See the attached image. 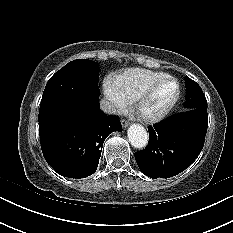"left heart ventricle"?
<instances>
[{
  "instance_id": "left-heart-ventricle-1",
  "label": "left heart ventricle",
  "mask_w": 233,
  "mask_h": 233,
  "mask_svg": "<svg viewBox=\"0 0 233 233\" xmlns=\"http://www.w3.org/2000/svg\"><path fill=\"white\" fill-rule=\"evenodd\" d=\"M176 92L175 84L166 81L158 85L150 97L142 105L141 111L146 115H153L164 109L173 99Z\"/></svg>"
}]
</instances>
